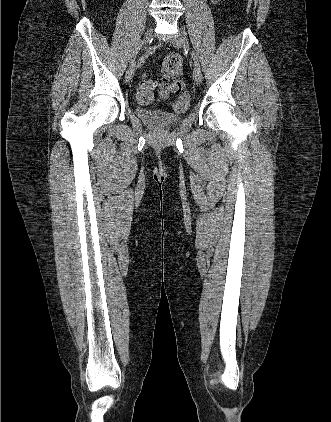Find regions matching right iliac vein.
<instances>
[{"label":"right iliac vein","instance_id":"63e3f726","mask_svg":"<svg viewBox=\"0 0 331 422\" xmlns=\"http://www.w3.org/2000/svg\"><path fill=\"white\" fill-rule=\"evenodd\" d=\"M151 37H152V29L148 28L143 36L141 44L143 46L146 45L150 41ZM136 67H137L136 64H134V65H130L129 68L127 69L126 75H125V78L127 81L133 78Z\"/></svg>","mask_w":331,"mask_h":422}]
</instances>
